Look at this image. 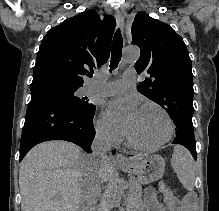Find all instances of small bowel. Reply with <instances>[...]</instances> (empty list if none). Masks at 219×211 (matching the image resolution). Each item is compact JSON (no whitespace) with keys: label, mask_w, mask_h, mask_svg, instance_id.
Returning <instances> with one entry per match:
<instances>
[{"label":"small bowel","mask_w":219,"mask_h":211,"mask_svg":"<svg viewBox=\"0 0 219 211\" xmlns=\"http://www.w3.org/2000/svg\"><path fill=\"white\" fill-rule=\"evenodd\" d=\"M195 204V197L188 194L179 203L177 211H194ZM142 211H172V209L160 206L156 192L149 189L145 195V204Z\"/></svg>","instance_id":"c3829d8e"}]
</instances>
